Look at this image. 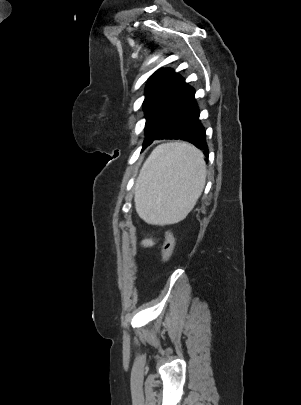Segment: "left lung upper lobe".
<instances>
[{"label":"left lung upper lobe","mask_w":301,"mask_h":405,"mask_svg":"<svg viewBox=\"0 0 301 405\" xmlns=\"http://www.w3.org/2000/svg\"><path fill=\"white\" fill-rule=\"evenodd\" d=\"M187 88L188 84L184 79L171 69H159L151 76L145 89L143 102L146 137L160 128Z\"/></svg>","instance_id":"5c2ea615"}]
</instances>
